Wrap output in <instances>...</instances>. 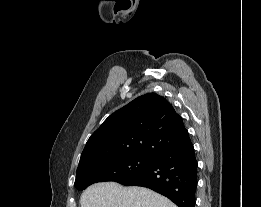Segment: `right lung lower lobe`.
Listing matches in <instances>:
<instances>
[{
    "instance_id": "1",
    "label": "right lung lower lobe",
    "mask_w": 261,
    "mask_h": 207,
    "mask_svg": "<svg viewBox=\"0 0 261 207\" xmlns=\"http://www.w3.org/2000/svg\"><path fill=\"white\" fill-rule=\"evenodd\" d=\"M197 161L191 141L182 148L163 153L144 170L118 183L150 188L178 207H195Z\"/></svg>"
}]
</instances>
